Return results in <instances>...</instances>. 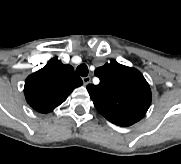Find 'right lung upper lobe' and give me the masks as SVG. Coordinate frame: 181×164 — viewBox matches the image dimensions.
Wrapping results in <instances>:
<instances>
[{"label": "right lung upper lobe", "mask_w": 181, "mask_h": 164, "mask_svg": "<svg viewBox=\"0 0 181 164\" xmlns=\"http://www.w3.org/2000/svg\"><path fill=\"white\" fill-rule=\"evenodd\" d=\"M82 84L71 65H64L57 58H52L42 69L27 77L24 94L34 110L48 113Z\"/></svg>", "instance_id": "1"}]
</instances>
